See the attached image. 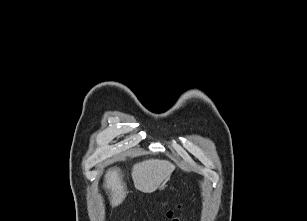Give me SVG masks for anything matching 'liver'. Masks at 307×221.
<instances>
[{
	"instance_id": "6515ba94",
	"label": "liver",
	"mask_w": 307,
	"mask_h": 221,
	"mask_svg": "<svg viewBox=\"0 0 307 221\" xmlns=\"http://www.w3.org/2000/svg\"><path fill=\"white\" fill-rule=\"evenodd\" d=\"M175 166L166 160L150 159L136 163L132 168V179L137 190L151 193L166 181ZM106 190L109 192L112 207L120 205L128 193L126 183L119 168H111L105 175Z\"/></svg>"
}]
</instances>
